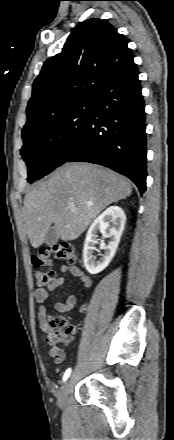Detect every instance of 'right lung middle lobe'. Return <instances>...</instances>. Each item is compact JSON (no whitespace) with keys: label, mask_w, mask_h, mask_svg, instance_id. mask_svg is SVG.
Instances as JSON below:
<instances>
[{"label":"right lung middle lobe","mask_w":174,"mask_h":440,"mask_svg":"<svg viewBox=\"0 0 174 440\" xmlns=\"http://www.w3.org/2000/svg\"><path fill=\"white\" fill-rule=\"evenodd\" d=\"M91 109L88 97L22 131L21 156L28 166L29 183L65 163L87 128Z\"/></svg>","instance_id":"right-lung-middle-lobe-1"}]
</instances>
